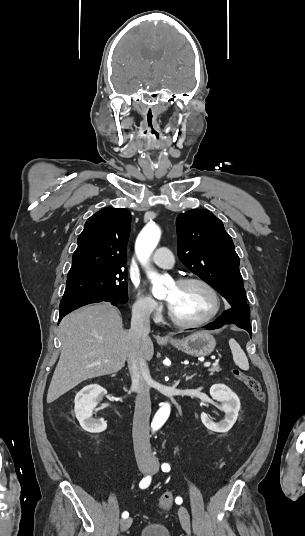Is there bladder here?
Segmentation results:
<instances>
[{
  "label": "bladder",
  "mask_w": 305,
  "mask_h": 536,
  "mask_svg": "<svg viewBox=\"0 0 305 536\" xmlns=\"http://www.w3.org/2000/svg\"><path fill=\"white\" fill-rule=\"evenodd\" d=\"M137 536H171L169 528L161 522H150L141 527Z\"/></svg>",
  "instance_id": "bladder-1"
}]
</instances>
